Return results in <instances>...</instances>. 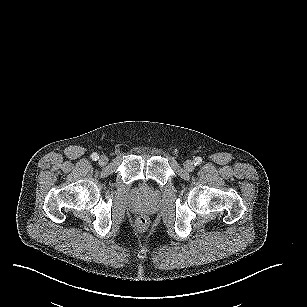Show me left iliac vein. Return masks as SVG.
<instances>
[{"label": "left iliac vein", "mask_w": 307, "mask_h": 307, "mask_svg": "<svg viewBox=\"0 0 307 307\" xmlns=\"http://www.w3.org/2000/svg\"><path fill=\"white\" fill-rule=\"evenodd\" d=\"M184 167L187 171H192L195 167V163L192 160H186L184 162Z\"/></svg>", "instance_id": "left-iliac-vein-1"}]
</instances>
